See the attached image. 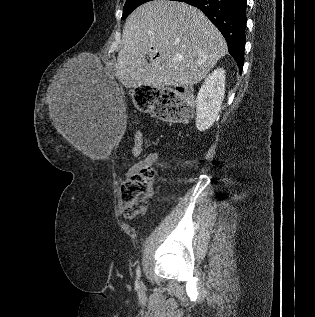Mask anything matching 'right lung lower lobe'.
I'll use <instances>...</instances> for the list:
<instances>
[{
	"label": "right lung lower lobe",
	"mask_w": 315,
	"mask_h": 317,
	"mask_svg": "<svg viewBox=\"0 0 315 317\" xmlns=\"http://www.w3.org/2000/svg\"><path fill=\"white\" fill-rule=\"evenodd\" d=\"M199 8L224 36L239 71L244 64L247 0H175Z\"/></svg>",
	"instance_id": "obj_1"
}]
</instances>
